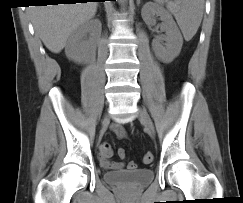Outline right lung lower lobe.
<instances>
[{
	"label": "right lung lower lobe",
	"instance_id": "1",
	"mask_svg": "<svg viewBox=\"0 0 243 203\" xmlns=\"http://www.w3.org/2000/svg\"><path fill=\"white\" fill-rule=\"evenodd\" d=\"M41 1H48V0H40V2ZM61 1H62L61 3H69L70 4V3H76V1H86V0H61ZM95 1L99 2V1H105V0H95ZM111 1H116V0H111ZM41 4H43V2ZM41 4H38V5L41 6Z\"/></svg>",
	"mask_w": 243,
	"mask_h": 203
}]
</instances>
